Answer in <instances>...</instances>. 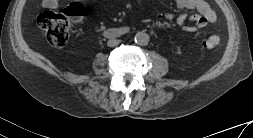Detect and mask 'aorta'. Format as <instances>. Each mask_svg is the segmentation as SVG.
I'll list each match as a JSON object with an SVG mask.
<instances>
[{
    "label": "aorta",
    "mask_w": 253,
    "mask_h": 138,
    "mask_svg": "<svg viewBox=\"0 0 253 138\" xmlns=\"http://www.w3.org/2000/svg\"><path fill=\"white\" fill-rule=\"evenodd\" d=\"M134 41L138 45L145 46L149 42V35L143 31L138 32L134 36Z\"/></svg>",
    "instance_id": "1"
}]
</instances>
